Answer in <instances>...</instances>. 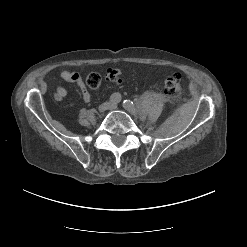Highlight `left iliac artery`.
I'll return each mask as SVG.
<instances>
[{"instance_id":"1","label":"left iliac artery","mask_w":247,"mask_h":247,"mask_svg":"<svg viewBox=\"0 0 247 247\" xmlns=\"http://www.w3.org/2000/svg\"><path fill=\"white\" fill-rule=\"evenodd\" d=\"M123 107L126 109V110H129V113L130 114H135L136 113V107L134 106V103L130 100H124L123 101Z\"/></svg>"}]
</instances>
